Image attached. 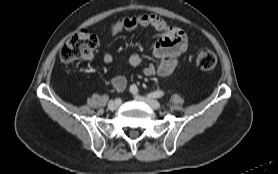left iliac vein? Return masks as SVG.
<instances>
[{
	"label": "left iliac vein",
	"instance_id": "4c4485c4",
	"mask_svg": "<svg viewBox=\"0 0 278 174\" xmlns=\"http://www.w3.org/2000/svg\"><path fill=\"white\" fill-rule=\"evenodd\" d=\"M135 98L139 101L144 102L145 104H147L152 109L157 110L161 107V104L157 100L146 98V97L139 96V95H136Z\"/></svg>",
	"mask_w": 278,
	"mask_h": 174
}]
</instances>
